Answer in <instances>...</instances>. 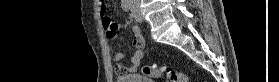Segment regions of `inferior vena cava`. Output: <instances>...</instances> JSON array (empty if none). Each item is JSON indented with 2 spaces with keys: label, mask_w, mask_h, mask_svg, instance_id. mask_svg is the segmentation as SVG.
I'll list each match as a JSON object with an SVG mask.
<instances>
[{
  "label": "inferior vena cava",
  "mask_w": 279,
  "mask_h": 82,
  "mask_svg": "<svg viewBox=\"0 0 279 82\" xmlns=\"http://www.w3.org/2000/svg\"><path fill=\"white\" fill-rule=\"evenodd\" d=\"M131 4L133 7L134 12H139V0H131Z\"/></svg>",
  "instance_id": "1"
}]
</instances>
